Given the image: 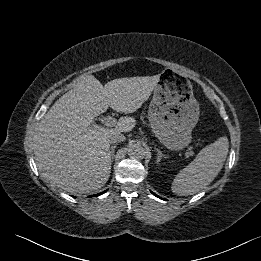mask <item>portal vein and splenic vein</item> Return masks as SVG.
Instances as JSON below:
<instances>
[{
    "mask_svg": "<svg viewBox=\"0 0 261 261\" xmlns=\"http://www.w3.org/2000/svg\"><path fill=\"white\" fill-rule=\"evenodd\" d=\"M117 123H118L117 120L115 118H112V117L107 118V120L105 121V125L108 126V127H114ZM186 153L189 156L194 155V152L191 151V150H186Z\"/></svg>",
    "mask_w": 261,
    "mask_h": 261,
    "instance_id": "18ae733b",
    "label": "portal vein and splenic vein"
}]
</instances>
